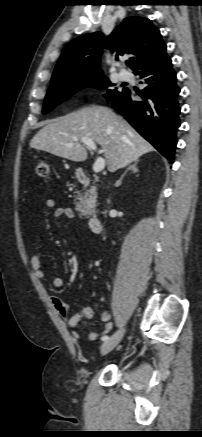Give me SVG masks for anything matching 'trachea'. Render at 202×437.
<instances>
[{
	"mask_svg": "<svg viewBox=\"0 0 202 437\" xmlns=\"http://www.w3.org/2000/svg\"><path fill=\"white\" fill-rule=\"evenodd\" d=\"M126 65H127V66H130V61H127V62H126Z\"/></svg>",
	"mask_w": 202,
	"mask_h": 437,
	"instance_id": "3493384b",
	"label": "trachea"
}]
</instances>
